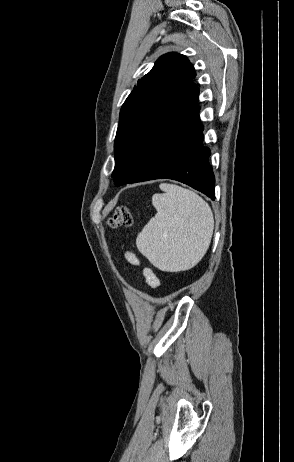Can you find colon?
I'll use <instances>...</instances> for the list:
<instances>
[{
  "label": "colon",
  "mask_w": 294,
  "mask_h": 462,
  "mask_svg": "<svg viewBox=\"0 0 294 462\" xmlns=\"http://www.w3.org/2000/svg\"><path fill=\"white\" fill-rule=\"evenodd\" d=\"M132 224V216L127 208H118L108 220V225L112 228L118 226H130Z\"/></svg>",
  "instance_id": "1"
}]
</instances>
